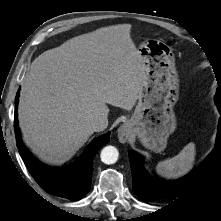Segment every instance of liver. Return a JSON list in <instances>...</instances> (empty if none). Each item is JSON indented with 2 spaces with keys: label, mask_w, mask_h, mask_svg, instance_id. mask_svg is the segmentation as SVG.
<instances>
[{
  "label": "liver",
  "mask_w": 221,
  "mask_h": 221,
  "mask_svg": "<svg viewBox=\"0 0 221 221\" xmlns=\"http://www.w3.org/2000/svg\"><path fill=\"white\" fill-rule=\"evenodd\" d=\"M131 25L100 28L47 50L31 64L19 101L26 144L43 161L71 158L94 133L107 104L131 110L147 81Z\"/></svg>",
  "instance_id": "obj_1"
}]
</instances>
